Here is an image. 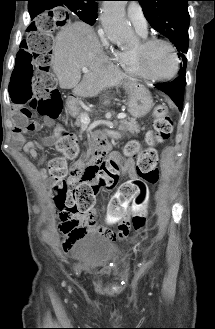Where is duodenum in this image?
Returning <instances> with one entry per match:
<instances>
[{
	"mask_svg": "<svg viewBox=\"0 0 215 329\" xmlns=\"http://www.w3.org/2000/svg\"><path fill=\"white\" fill-rule=\"evenodd\" d=\"M71 98H72L71 96L68 97V99H71ZM98 153L99 154H105V153L108 154V151L106 149H101L98 151Z\"/></svg>",
	"mask_w": 215,
	"mask_h": 329,
	"instance_id": "410a0bca",
	"label": "duodenum"
}]
</instances>
